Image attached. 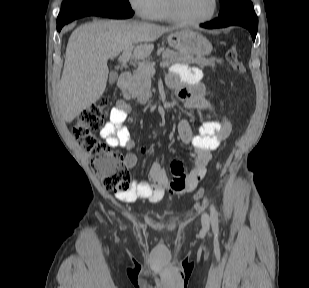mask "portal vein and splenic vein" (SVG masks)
<instances>
[{"label": "portal vein and splenic vein", "instance_id": "portal-vein-and-splenic-vein-1", "mask_svg": "<svg viewBox=\"0 0 309 288\" xmlns=\"http://www.w3.org/2000/svg\"><path fill=\"white\" fill-rule=\"evenodd\" d=\"M133 46H129L127 47L124 52L122 53V55L119 56L118 61L122 64H126L128 62H132L131 59V52H132ZM138 67L141 69H144L146 71H148L151 74L155 73V69L153 66L149 65L148 63H146L145 61H137L136 62ZM168 62L167 61H163L160 63L161 67H165L168 66Z\"/></svg>", "mask_w": 309, "mask_h": 288}]
</instances>
